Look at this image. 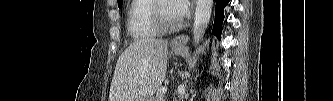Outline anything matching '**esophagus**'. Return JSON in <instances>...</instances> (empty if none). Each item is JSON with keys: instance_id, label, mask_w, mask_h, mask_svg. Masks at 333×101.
<instances>
[{"instance_id": "1", "label": "esophagus", "mask_w": 333, "mask_h": 101, "mask_svg": "<svg viewBox=\"0 0 333 101\" xmlns=\"http://www.w3.org/2000/svg\"><path fill=\"white\" fill-rule=\"evenodd\" d=\"M188 41V36L185 34L178 35L172 40V44L176 47L184 46Z\"/></svg>"}]
</instances>
